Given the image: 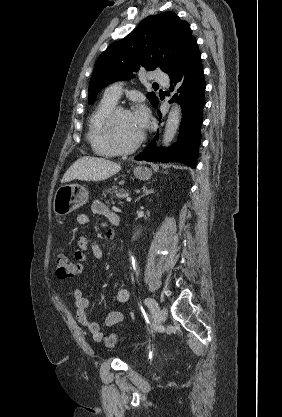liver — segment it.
Here are the masks:
<instances>
[{
	"mask_svg": "<svg viewBox=\"0 0 282 417\" xmlns=\"http://www.w3.org/2000/svg\"><path fill=\"white\" fill-rule=\"evenodd\" d=\"M119 170H121L119 162H113V160H107L101 156H81L69 166L62 176L61 182H69L74 178H78V180H105Z\"/></svg>",
	"mask_w": 282,
	"mask_h": 417,
	"instance_id": "liver-1",
	"label": "liver"
}]
</instances>
